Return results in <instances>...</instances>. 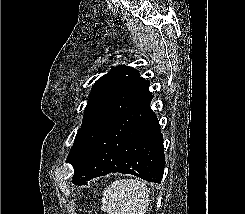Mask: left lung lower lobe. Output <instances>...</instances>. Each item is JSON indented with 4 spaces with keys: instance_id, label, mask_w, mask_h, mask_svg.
I'll return each mask as SVG.
<instances>
[{
    "instance_id": "obj_1",
    "label": "left lung lower lobe",
    "mask_w": 245,
    "mask_h": 214,
    "mask_svg": "<svg viewBox=\"0 0 245 214\" xmlns=\"http://www.w3.org/2000/svg\"><path fill=\"white\" fill-rule=\"evenodd\" d=\"M153 95L110 124L79 156L72 182L87 181L109 173L133 174L161 183L165 156L163 135L150 108Z\"/></svg>"
}]
</instances>
